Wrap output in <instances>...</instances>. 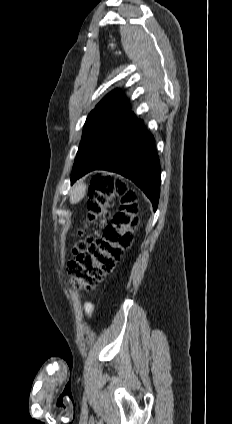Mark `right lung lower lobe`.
<instances>
[{"label": "right lung lower lobe", "instance_id": "98d812e1", "mask_svg": "<svg viewBox=\"0 0 232 424\" xmlns=\"http://www.w3.org/2000/svg\"><path fill=\"white\" fill-rule=\"evenodd\" d=\"M96 169L116 172L132 180L157 209L160 194V161L153 136L135 115L115 130L86 163L83 170L71 177V184Z\"/></svg>", "mask_w": 232, "mask_h": 424}]
</instances>
